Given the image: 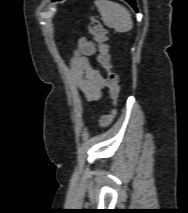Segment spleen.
I'll use <instances>...</instances> for the list:
<instances>
[{
    "label": "spleen",
    "mask_w": 188,
    "mask_h": 213,
    "mask_svg": "<svg viewBox=\"0 0 188 213\" xmlns=\"http://www.w3.org/2000/svg\"><path fill=\"white\" fill-rule=\"evenodd\" d=\"M95 5L106 26L119 33L128 32L133 28L129 11L121 4L109 0H95Z\"/></svg>",
    "instance_id": "3e777b00"
}]
</instances>
